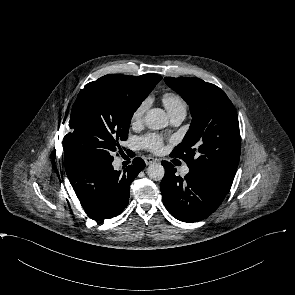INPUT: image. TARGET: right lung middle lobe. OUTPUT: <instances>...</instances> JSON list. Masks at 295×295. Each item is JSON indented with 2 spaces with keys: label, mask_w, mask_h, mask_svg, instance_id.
<instances>
[{
  "label": "right lung middle lobe",
  "mask_w": 295,
  "mask_h": 295,
  "mask_svg": "<svg viewBox=\"0 0 295 295\" xmlns=\"http://www.w3.org/2000/svg\"><path fill=\"white\" fill-rule=\"evenodd\" d=\"M147 75L110 74L90 82L77 96L70 113L71 132L63 139L66 161L77 165L113 160L128 138L133 113L152 90Z\"/></svg>",
  "instance_id": "dd1d6c3e"
}]
</instances>
